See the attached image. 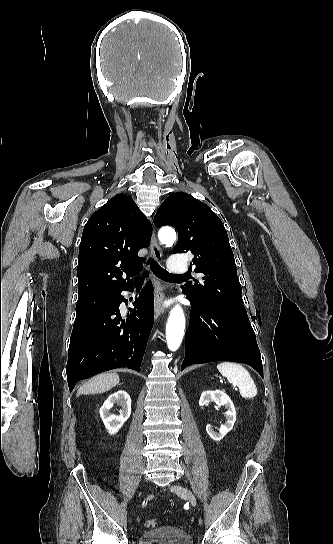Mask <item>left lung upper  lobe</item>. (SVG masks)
<instances>
[{"label":"left lung upper lobe","mask_w":333,"mask_h":544,"mask_svg":"<svg viewBox=\"0 0 333 544\" xmlns=\"http://www.w3.org/2000/svg\"><path fill=\"white\" fill-rule=\"evenodd\" d=\"M154 224L173 226L179 238L172 252H191L194 271L205 275L201 282L194 279L186 283L183 291L209 309L250 325L233 252L220 218L206 204L179 192L162 203Z\"/></svg>","instance_id":"1"}]
</instances>
